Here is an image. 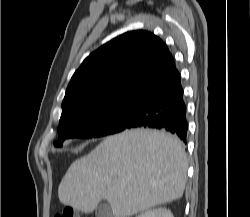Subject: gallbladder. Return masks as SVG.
<instances>
[{"mask_svg":"<svg viewBox=\"0 0 250 217\" xmlns=\"http://www.w3.org/2000/svg\"><path fill=\"white\" fill-rule=\"evenodd\" d=\"M96 217H113L111 207L108 203H101L95 210Z\"/></svg>","mask_w":250,"mask_h":217,"instance_id":"gallbladder-1","label":"gallbladder"}]
</instances>
